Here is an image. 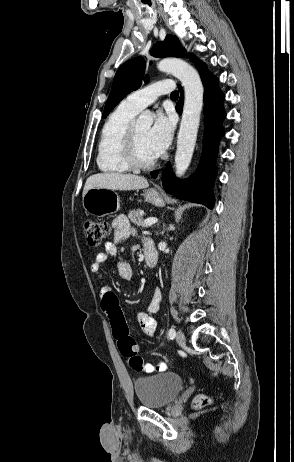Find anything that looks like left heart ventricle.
I'll list each match as a JSON object with an SVG mask.
<instances>
[{"label":"left heart ventricle","mask_w":294,"mask_h":462,"mask_svg":"<svg viewBox=\"0 0 294 462\" xmlns=\"http://www.w3.org/2000/svg\"><path fill=\"white\" fill-rule=\"evenodd\" d=\"M149 129H150L149 126H143V125L134 126L138 156L142 161H149L156 157V154L153 152L149 144V140H148Z\"/></svg>","instance_id":"left-heart-ventricle-1"}]
</instances>
